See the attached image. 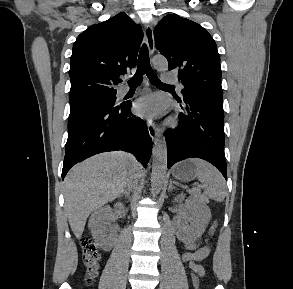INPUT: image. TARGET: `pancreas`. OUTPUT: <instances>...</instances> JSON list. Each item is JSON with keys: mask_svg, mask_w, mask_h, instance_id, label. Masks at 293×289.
<instances>
[{"mask_svg": "<svg viewBox=\"0 0 293 289\" xmlns=\"http://www.w3.org/2000/svg\"><path fill=\"white\" fill-rule=\"evenodd\" d=\"M189 193L196 199L205 200L206 198L201 194V191L199 189H193L189 190Z\"/></svg>", "mask_w": 293, "mask_h": 289, "instance_id": "obj_1", "label": "pancreas"}]
</instances>
